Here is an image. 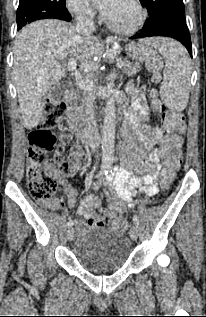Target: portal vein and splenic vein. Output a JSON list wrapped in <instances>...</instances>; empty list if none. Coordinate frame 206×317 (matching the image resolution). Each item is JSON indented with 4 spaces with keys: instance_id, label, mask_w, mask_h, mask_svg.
I'll list each match as a JSON object with an SVG mask.
<instances>
[{
    "instance_id": "portal-vein-and-splenic-vein-1",
    "label": "portal vein and splenic vein",
    "mask_w": 206,
    "mask_h": 317,
    "mask_svg": "<svg viewBox=\"0 0 206 317\" xmlns=\"http://www.w3.org/2000/svg\"><path fill=\"white\" fill-rule=\"evenodd\" d=\"M124 65H125V62L123 61L117 63L118 68L123 67ZM76 68H77L76 59L70 58L68 62V69L74 72V75L76 78V84L85 91H91L94 88V83L91 80L82 77V75L80 74L79 71H77Z\"/></svg>"
}]
</instances>
